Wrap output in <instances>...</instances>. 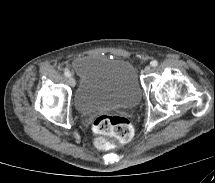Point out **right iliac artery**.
Returning <instances> with one entry per match:
<instances>
[{
	"label": "right iliac artery",
	"mask_w": 215,
	"mask_h": 183,
	"mask_svg": "<svg viewBox=\"0 0 215 183\" xmlns=\"http://www.w3.org/2000/svg\"><path fill=\"white\" fill-rule=\"evenodd\" d=\"M64 75H65L66 77H70V76H71V73H70L68 70H65Z\"/></svg>",
	"instance_id": "82829eb1"
}]
</instances>
